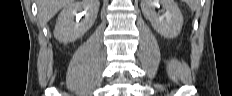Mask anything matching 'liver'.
Here are the masks:
<instances>
[{
    "instance_id": "liver-1",
    "label": "liver",
    "mask_w": 232,
    "mask_h": 96,
    "mask_svg": "<svg viewBox=\"0 0 232 96\" xmlns=\"http://www.w3.org/2000/svg\"><path fill=\"white\" fill-rule=\"evenodd\" d=\"M72 0H37L39 19L46 24L61 8Z\"/></svg>"
}]
</instances>
